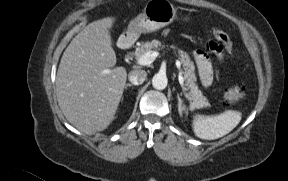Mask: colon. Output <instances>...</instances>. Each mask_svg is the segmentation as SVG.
<instances>
[{
    "mask_svg": "<svg viewBox=\"0 0 288 181\" xmlns=\"http://www.w3.org/2000/svg\"><path fill=\"white\" fill-rule=\"evenodd\" d=\"M213 36L216 43L212 44V48L217 51H227L232 50V43L228 34L221 28H215L213 30ZM242 90L239 87L233 86L226 88L222 95V102L224 105H230L242 96Z\"/></svg>",
    "mask_w": 288,
    "mask_h": 181,
    "instance_id": "obj_1",
    "label": "colon"
}]
</instances>
